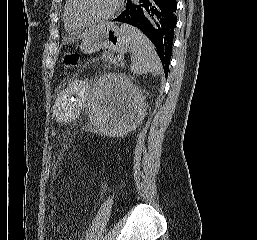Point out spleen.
<instances>
[{"instance_id":"3e777b00","label":"spleen","mask_w":257,"mask_h":240,"mask_svg":"<svg viewBox=\"0 0 257 240\" xmlns=\"http://www.w3.org/2000/svg\"><path fill=\"white\" fill-rule=\"evenodd\" d=\"M122 28L127 32L128 47L132 52L131 72L140 75L149 72L154 76L160 75L162 65L151 41L134 27L122 25Z\"/></svg>"}]
</instances>
